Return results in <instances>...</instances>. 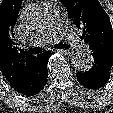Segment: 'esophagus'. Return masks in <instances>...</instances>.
I'll list each match as a JSON object with an SVG mask.
<instances>
[{"mask_svg": "<svg viewBox=\"0 0 113 113\" xmlns=\"http://www.w3.org/2000/svg\"><path fill=\"white\" fill-rule=\"evenodd\" d=\"M55 50L60 52V53L65 54V55H72L73 54V51L70 49H55Z\"/></svg>", "mask_w": 113, "mask_h": 113, "instance_id": "34e87169", "label": "esophagus"}]
</instances>
